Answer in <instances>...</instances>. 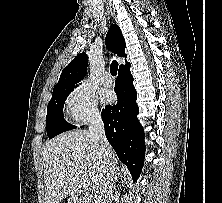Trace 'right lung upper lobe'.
I'll return each instance as SVG.
<instances>
[{
  "mask_svg": "<svg viewBox=\"0 0 222 203\" xmlns=\"http://www.w3.org/2000/svg\"><path fill=\"white\" fill-rule=\"evenodd\" d=\"M106 46L118 56H126L124 37L120 28L115 24L110 27L106 35ZM87 64L88 57L86 53H81L75 57L70 64L63 69L60 79L55 85L53 92L75 88L76 84L83 80L86 74ZM129 65L130 64L126 62V65H120L119 69Z\"/></svg>",
  "mask_w": 222,
  "mask_h": 203,
  "instance_id": "1",
  "label": "right lung upper lobe"
}]
</instances>
